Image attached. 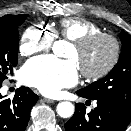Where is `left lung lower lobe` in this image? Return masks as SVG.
<instances>
[{
    "label": "left lung lower lobe",
    "instance_id": "left-lung-lower-lobe-1",
    "mask_svg": "<svg viewBox=\"0 0 131 131\" xmlns=\"http://www.w3.org/2000/svg\"><path fill=\"white\" fill-rule=\"evenodd\" d=\"M85 97L81 91H77ZM90 99V98H88ZM97 101V107L88 114L85 105L77 103L73 117L64 125L66 131H125L131 122V112L119 104L103 99Z\"/></svg>",
    "mask_w": 131,
    "mask_h": 131
}]
</instances>
